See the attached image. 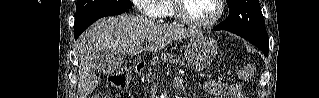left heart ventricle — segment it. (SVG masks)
Wrapping results in <instances>:
<instances>
[{
  "mask_svg": "<svg viewBox=\"0 0 319 98\" xmlns=\"http://www.w3.org/2000/svg\"><path fill=\"white\" fill-rule=\"evenodd\" d=\"M218 7L215 0H185L183 1L184 13L195 20L206 21L217 13Z\"/></svg>",
  "mask_w": 319,
  "mask_h": 98,
  "instance_id": "b2bd125f",
  "label": "left heart ventricle"
}]
</instances>
